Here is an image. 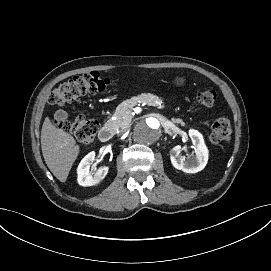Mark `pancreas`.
I'll use <instances>...</instances> for the list:
<instances>
[{
	"label": "pancreas",
	"instance_id": "cf45deb5",
	"mask_svg": "<svg viewBox=\"0 0 271 271\" xmlns=\"http://www.w3.org/2000/svg\"><path fill=\"white\" fill-rule=\"evenodd\" d=\"M147 105L151 104L154 106H158L160 108H163V105H161V100H158V98L154 95H141V96H134L131 100H126L122 102L117 108L113 115L115 117V120L109 119L108 124L114 129H125L128 128L130 125V122L133 118L131 115V109L135 105ZM172 122L181 124L182 126L185 125L182 119L179 118H172Z\"/></svg>",
	"mask_w": 271,
	"mask_h": 271
}]
</instances>
